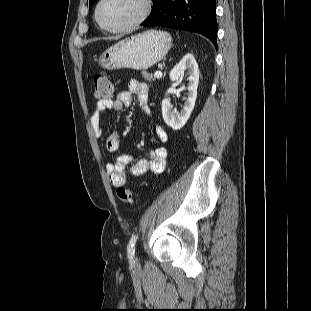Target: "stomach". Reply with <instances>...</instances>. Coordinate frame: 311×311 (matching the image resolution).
<instances>
[{
  "label": "stomach",
  "instance_id": "stomach-1",
  "mask_svg": "<svg viewBox=\"0 0 311 311\" xmlns=\"http://www.w3.org/2000/svg\"><path fill=\"white\" fill-rule=\"evenodd\" d=\"M171 45L172 38L169 33L148 30L112 45L100 56L98 63L108 70H146L161 61Z\"/></svg>",
  "mask_w": 311,
  "mask_h": 311
}]
</instances>
